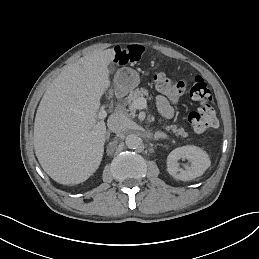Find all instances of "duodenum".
I'll list each match as a JSON object with an SVG mask.
<instances>
[{"mask_svg": "<svg viewBox=\"0 0 259 259\" xmlns=\"http://www.w3.org/2000/svg\"><path fill=\"white\" fill-rule=\"evenodd\" d=\"M125 95V91L123 89H118L116 91V98L117 99H122Z\"/></svg>", "mask_w": 259, "mask_h": 259, "instance_id": "obj_1", "label": "duodenum"}]
</instances>
